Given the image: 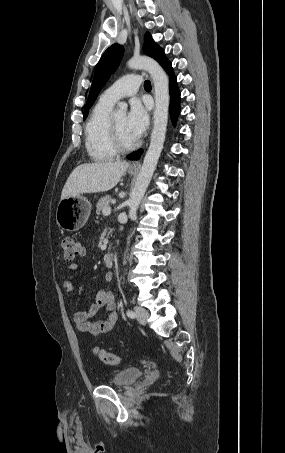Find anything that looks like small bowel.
Wrapping results in <instances>:
<instances>
[{
  "label": "small bowel",
  "instance_id": "obj_1",
  "mask_svg": "<svg viewBox=\"0 0 285 453\" xmlns=\"http://www.w3.org/2000/svg\"><path fill=\"white\" fill-rule=\"evenodd\" d=\"M86 255V250L80 248L81 257ZM70 270H77L78 264L71 263ZM106 283L113 280L111 273H106L104 276ZM62 286L66 293L72 297L75 292V287L69 280H64ZM100 310H104L105 315L102 319L94 320ZM116 304L112 292L108 290H100L97 293L94 303L88 311H71L72 320L77 330L83 334L91 336H99L101 334L111 331L117 323L118 316L116 313Z\"/></svg>",
  "mask_w": 285,
  "mask_h": 453
}]
</instances>
